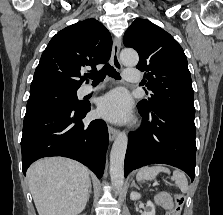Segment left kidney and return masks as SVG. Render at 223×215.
Instances as JSON below:
<instances>
[{"instance_id": "obj_1", "label": "left kidney", "mask_w": 223, "mask_h": 215, "mask_svg": "<svg viewBox=\"0 0 223 215\" xmlns=\"http://www.w3.org/2000/svg\"><path fill=\"white\" fill-rule=\"evenodd\" d=\"M141 193L137 191H131L130 199H140ZM147 207H150L149 211H144L143 215H155V205L152 201H147Z\"/></svg>"}]
</instances>
